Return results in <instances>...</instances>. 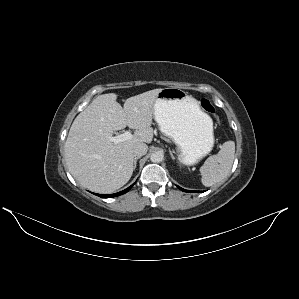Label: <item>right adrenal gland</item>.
I'll list each match as a JSON object with an SVG mask.
<instances>
[{
  "label": "right adrenal gland",
  "mask_w": 299,
  "mask_h": 299,
  "mask_svg": "<svg viewBox=\"0 0 299 299\" xmlns=\"http://www.w3.org/2000/svg\"><path fill=\"white\" fill-rule=\"evenodd\" d=\"M141 157L140 156H137L134 158V166H133V169L135 170L136 169V166H137V161L138 159H140Z\"/></svg>",
  "instance_id": "obj_1"
}]
</instances>
